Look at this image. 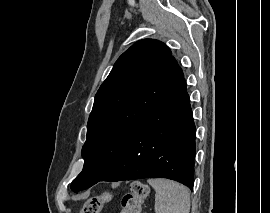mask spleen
I'll return each mask as SVG.
<instances>
[{"label": "spleen", "instance_id": "1", "mask_svg": "<svg viewBox=\"0 0 270 213\" xmlns=\"http://www.w3.org/2000/svg\"><path fill=\"white\" fill-rule=\"evenodd\" d=\"M154 188L155 213H189L190 196L182 184L163 178L148 179Z\"/></svg>", "mask_w": 270, "mask_h": 213}]
</instances>
